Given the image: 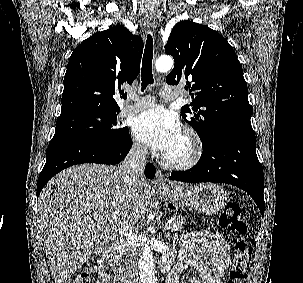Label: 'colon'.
Here are the masks:
<instances>
[{
    "label": "colon",
    "mask_w": 303,
    "mask_h": 283,
    "mask_svg": "<svg viewBox=\"0 0 303 283\" xmlns=\"http://www.w3.org/2000/svg\"><path fill=\"white\" fill-rule=\"evenodd\" d=\"M222 228L244 236L247 232V225L242 218L240 206L236 202H228L220 216ZM252 248L243 241L238 240L235 244L233 265L229 271L227 283H243L251 260ZM94 267L86 265L78 274L67 283H91Z\"/></svg>",
    "instance_id": "5ec220e1"
}]
</instances>
